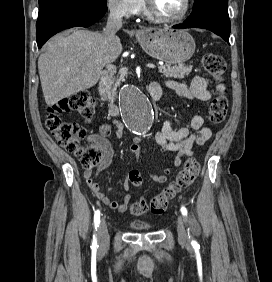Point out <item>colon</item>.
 Here are the masks:
<instances>
[{
  "mask_svg": "<svg viewBox=\"0 0 272 282\" xmlns=\"http://www.w3.org/2000/svg\"><path fill=\"white\" fill-rule=\"evenodd\" d=\"M202 65L218 84H222L225 62L221 56L206 54L202 59ZM227 110L228 99L225 95V88H223L210 105L208 111L209 121L212 123L221 122ZM65 112H76L84 118L90 119L95 112L93 97L87 91H81L60 100L49 108L45 123L59 146L68 153L79 157L84 168L92 169L98 166L103 160L102 149L95 144L83 146L81 141L86 137V130L78 123L62 119L60 115ZM199 170V162L194 158L188 159L175 180L158 195L154 196L149 202L145 199L134 202L130 209L131 214L136 216L147 212L155 215L163 214L175 195L193 183ZM129 180L134 186H139L142 183L141 176L135 171L130 172Z\"/></svg>",
  "mask_w": 272,
  "mask_h": 282,
  "instance_id": "obj_1",
  "label": "colon"
}]
</instances>
